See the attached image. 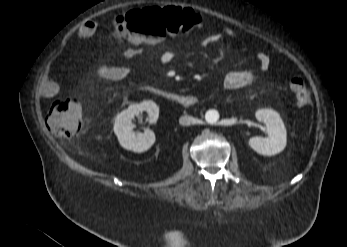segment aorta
Listing matches in <instances>:
<instances>
[{"label":"aorta","instance_id":"1","mask_svg":"<svg viewBox=\"0 0 347 247\" xmlns=\"http://www.w3.org/2000/svg\"><path fill=\"white\" fill-rule=\"evenodd\" d=\"M219 119V113L216 110H208L205 114V120L209 124H215Z\"/></svg>","mask_w":347,"mask_h":247}]
</instances>
